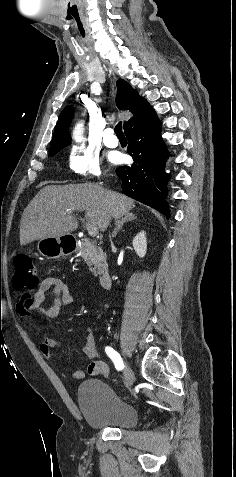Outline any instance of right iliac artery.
Here are the masks:
<instances>
[{"label": "right iliac artery", "instance_id": "1", "mask_svg": "<svg viewBox=\"0 0 236 477\" xmlns=\"http://www.w3.org/2000/svg\"><path fill=\"white\" fill-rule=\"evenodd\" d=\"M105 352L114 363L115 368L118 371H121L124 368V364L120 354L117 351H115L112 347H109V346L105 348Z\"/></svg>", "mask_w": 236, "mask_h": 477}]
</instances>
